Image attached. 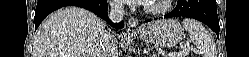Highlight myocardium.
I'll use <instances>...</instances> for the list:
<instances>
[{"label": "myocardium", "instance_id": "1", "mask_svg": "<svg viewBox=\"0 0 249 57\" xmlns=\"http://www.w3.org/2000/svg\"><path fill=\"white\" fill-rule=\"evenodd\" d=\"M172 2L173 0L152 1L144 4V11L148 14H162L169 10Z\"/></svg>", "mask_w": 249, "mask_h": 57}]
</instances>
